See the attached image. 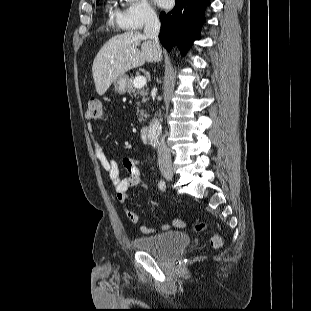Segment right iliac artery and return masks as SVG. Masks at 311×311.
<instances>
[{
	"mask_svg": "<svg viewBox=\"0 0 311 311\" xmlns=\"http://www.w3.org/2000/svg\"><path fill=\"white\" fill-rule=\"evenodd\" d=\"M158 187L161 190H165L166 189V184L163 180H160V182L158 183Z\"/></svg>",
	"mask_w": 311,
	"mask_h": 311,
	"instance_id": "obj_1",
	"label": "right iliac artery"
}]
</instances>
